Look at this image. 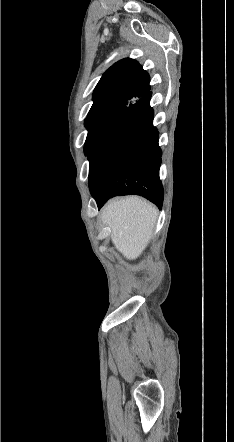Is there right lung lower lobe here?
<instances>
[{
	"label": "right lung lower lobe",
	"mask_w": 234,
	"mask_h": 442,
	"mask_svg": "<svg viewBox=\"0 0 234 442\" xmlns=\"http://www.w3.org/2000/svg\"><path fill=\"white\" fill-rule=\"evenodd\" d=\"M151 92L117 113L88 156L89 187L98 208L116 195L137 194L163 203L162 151L153 126Z\"/></svg>",
	"instance_id": "right-lung-lower-lobe-1"
}]
</instances>
